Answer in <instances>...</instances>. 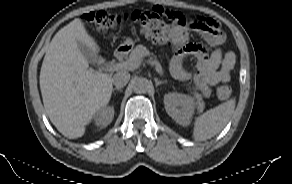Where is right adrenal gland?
I'll return each instance as SVG.
<instances>
[{"label":"right adrenal gland","instance_id":"1","mask_svg":"<svg viewBox=\"0 0 292 184\" xmlns=\"http://www.w3.org/2000/svg\"><path fill=\"white\" fill-rule=\"evenodd\" d=\"M112 91H113V92H114V91H120V92H122L123 90H122V88H117V87H116V88H114Z\"/></svg>","mask_w":292,"mask_h":184}]
</instances>
